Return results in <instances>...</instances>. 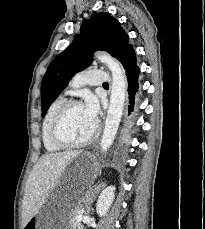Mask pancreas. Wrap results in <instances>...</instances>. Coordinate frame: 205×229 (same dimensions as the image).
<instances>
[{
	"instance_id": "1",
	"label": "pancreas",
	"mask_w": 205,
	"mask_h": 229,
	"mask_svg": "<svg viewBox=\"0 0 205 229\" xmlns=\"http://www.w3.org/2000/svg\"><path fill=\"white\" fill-rule=\"evenodd\" d=\"M80 215L79 212H76V210L72 213L70 218V229H83V225L81 222L77 221V216Z\"/></svg>"
}]
</instances>
